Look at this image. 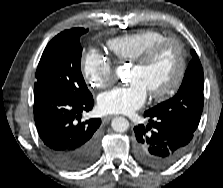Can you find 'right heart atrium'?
<instances>
[{"label": "right heart atrium", "instance_id": "right-heart-atrium-1", "mask_svg": "<svg viewBox=\"0 0 223 188\" xmlns=\"http://www.w3.org/2000/svg\"><path fill=\"white\" fill-rule=\"evenodd\" d=\"M81 71L86 83L94 89L105 87L113 75L111 61L94 51L84 54Z\"/></svg>", "mask_w": 223, "mask_h": 188}]
</instances>
